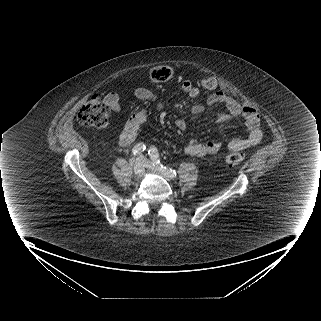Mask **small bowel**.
Instances as JSON below:
<instances>
[{
	"mask_svg": "<svg viewBox=\"0 0 321 321\" xmlns=\"http://www.w3.org/2000/svg\"><path fill=\"white\" fill-rule=\"evenodd\" d=\"M182 91L190 98L197 99L201 96V89L194 85L190 80H184L182 82ZM135 95L157 109H161L163 106L157 100L156 96L144 88H137ZM105 101L109 105L110 109L114 113H119L121 110L120 98L117 93L110 92L105 96ZM206 105L212 106L216 104H224L226 107L225 113H219L216 115V119L224 121L228 119L241 117L245 122L246 136L243 138H234L227 144L229 150L237 151L245 148H249L258 144L263 136V130L261 126V119L257 109L251 105H242L236 100L228 97L222 91H214L211 93L205 101ZM204 111L203 104H195L191 108L193 115H199ZM146 120V112L139 111L135 113L127 122L124 130L119 136V145L121 147L130 146L137 138L141 131L144 122ZM175 124L178 129L183 130L186 126L185 119L178 117L175 120ZM221 148L219 141H208L206 143H192L186 145L182 152L190 157L202 158L207 155L214 154Z\"/></svg>",
	"mask_w": 321,
	"mask_h": 321,
	"instance_id": "1",
	"label": "small bowel"
}]
</instances>
